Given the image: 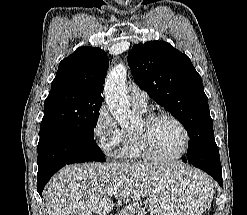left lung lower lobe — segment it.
<instances>
[{
  "label": "left lung lower lobe",
  "instance_id": "1",
  "mask_svg": "<svg viewBox=\"0 0 247 215\" xmlns=\"http://www.w3.org/2000/svg\"><path fill=\"white\" fill-rule=\"evenodd\" d=\"M182 161L207 172L222 186V167L214 140H206L194 145L191 154L187 156V159L183 158Z\"/></svg>",
  "mask_w": 247,
  "mask_h": 215
}]
</instances>
